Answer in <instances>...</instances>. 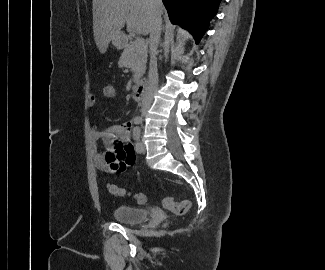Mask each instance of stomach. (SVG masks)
Masks as SVG:
<instances>
[{
  "label": "stomach",
  "mask_w": 325,
  "mask_h": 270,
  "mask_svg": "<svg viewBox=\"0 0 325 270\" xmlns=\"http://www.w3.org/2000/svg\"><path fill=\"white\" fill-rule=\"evenodd\" d=\"M112 43L116 48L122 49L126 46V38L120 33L112 39Z\"/></svg>",
  "instance_id": "1"
}]
</instances>
